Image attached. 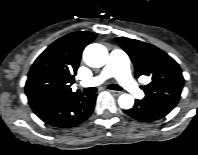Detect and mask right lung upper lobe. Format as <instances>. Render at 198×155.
<instances>
[{"instance_id": "1", "label": "right lung upper lobe", "mask_w": 198, "mask_h": 155, "mask_svg": "<svg viewBox=\"0 0 198 155\" xmlns=\"http://www.w3.org/2000/svg\"><path fill=\"white\" fill-rule=\"evenodd\" d=\"M96 33L73 32L52 43L32 65L25 92L32 109L71 98V85L77 74L82 51Z\"/></svg>"}]
</instances>
